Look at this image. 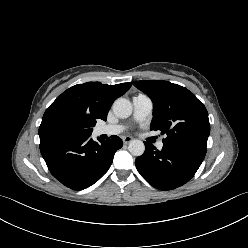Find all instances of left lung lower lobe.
Masks as SVG:
<instances>
[{
	"instance_id": "0a47b994",
	"label": "left lung lower lobe",
	"mask_w": 248,
	"mask_h": 248,
	"mask_svg": "<svg viewBox=\"0 0 248 248\" xmlns=\"http://www.w3.org/2000/svg\"><path fill=\"white\" fill-rule=\"evenodd\" d=\"M145 143V152L135 164L141 176L160 190H172L188 182L200 167L206 148L164 144L161 151Z\"/></svg>"
}]
</instances>
